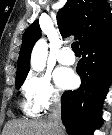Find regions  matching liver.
Masks as SVG:
<instances>
[{"instance_id":"obj_1","label":"liver","mask_w":112,"mask_h":135,"mask_svg":"<svg viewBox=\"0 0 112 135\" xmlns=\"http://www.w3.org/2000/svg\"><path fill=\"white\" fill-rule=\"evenodd\" d=\"M3 135H53V130L48 121L18 120L8 122Z\"/></svg>"}]
</instances>
